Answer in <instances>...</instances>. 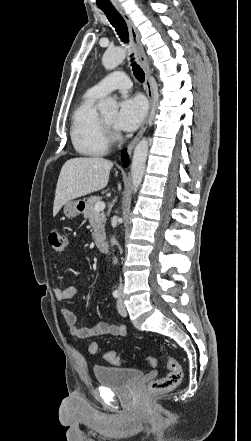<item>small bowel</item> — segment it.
<instances>
[{
    "label": "small bowel",
    "mask_w": 251,
    "mask_h": 441,
    "mask_svg": "<svg viewBox=\"0 0 251 441\" xmlns=\"http://www.w3.org/2000/svg\"><path fill=\"white\" fill-rule=\"evenodd\" d=\"M77 291V288L71 285L63 289L55 288L54 295L58 301L63 302L72 299ZM62 315L73 335L78 338L87 339L104 335L124 337L127 334V328L125 325L98 322L93 327L87 328L79 322L77 316L69 309H62Z\"/></svg>",
    "instance_id": "1"
}]
</instances>
